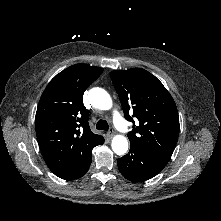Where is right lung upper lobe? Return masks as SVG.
Wrapping results in <instances>:
<instances>
[{
	"instance_id": "right-lung-upper-lobe-1",
	"label": "right lung upper lobe",
	"mask_w": 221,
	"mask_h": 221,
	"mask_svg": "<svg viewBox=\"0 0 221 221\" xmlns=\"http://www.w3.org/2000/svg\"><path fill=\"white\" fill-rule=\"evenodd\" d=\"M103 72L102 68L75 64L56 75L45 88L36 112L35 128L43 158L59 173L91 154L103 141L88 124L84 91Z\"/></svg>"
}]
</instances>
